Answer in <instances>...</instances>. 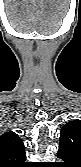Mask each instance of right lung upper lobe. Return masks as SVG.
Masks as SVG:
<instances>
[{
	"mask_svg": "<svg viewBox=\"0 0 81 167\" xmlns=\"http://www.w3.org/2000/svg\"><path fill=\"white\" fill-rule=\"evenodd\" d=\"M24 144L15 132H6L0 136V167H24Z\"/></svg>",
	"mask_w": 81,
	"mask_h": 167,
	"instance_id": "obj_1",
	"label": "right lung upper lobe"
}]
</instances>
